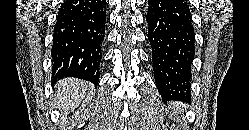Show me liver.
Here are the masks:
<instances>
[{
	"label": "liver",
	"mask_w": 249,
	"mask_h": 130,
	"mask_svg": "<svg viewBox=\"0 0 249 130\" xmlns=\"http://www.w3.org/2000/svg\"><path fill=\"white\" fill-rule=\"evenodd\" d=\"M88 86L76 79H64L57 85L56 100L57 108L62 109L64 114L74 110L85 97Z\"/></svg>",
	"instance_id": "6515ba94"
}]
</instances>
